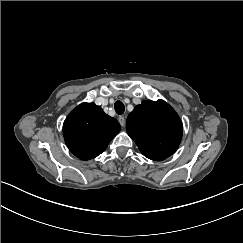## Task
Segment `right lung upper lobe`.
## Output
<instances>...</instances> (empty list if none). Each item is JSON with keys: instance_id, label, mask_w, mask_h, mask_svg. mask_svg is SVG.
Wrapping results in <instances>:
<instances>
[{"instance_id": "1", "label": "right lung upper lobe", "mask_w": 243, "mask_h": 243, "mask_svg": "<svg viewBox=\"0 0 243 243\" xmlns=\"http://www.w3.org/2000/svg\"><path fill=\"white\" fill-rule=\"evenodd\" d=\"M120 124L94 103H82L65 119L63 134L69 150L81 160L100 155L119 133Z\"/></svg>"}]
</instances>
